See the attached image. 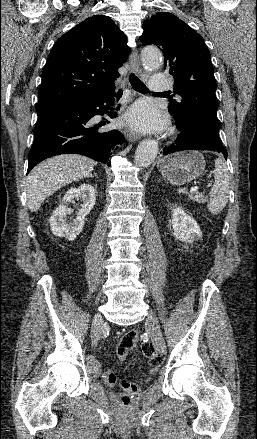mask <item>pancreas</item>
Returning <instances> with one entry per match:
<instances>
[{
	"mask_svg": "<svg viewBox=\"0 0 257 439\" xmlns=\"http://www.w3.org/2000/svg\"><path fill=\"white\" fill-rule=\"evenodd\" d=\"M189 198L197 203H204L207 201V197L200 193H192L189 195Z\"/></svg>",
	"mask_w": 257,
	"mask_h": 439,
	"instance_id": "cf45deb5",
	"label": "pancreas"
}]
</instances>
